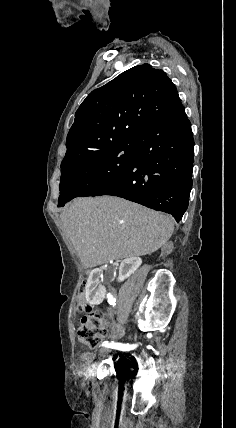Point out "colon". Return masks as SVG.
<instances>
[{
	"instance_id": "obj_1",
	"label": "colon",
	"mask_w": 236,
	"mask_h": 428,
	"mask_svg": "<svg viewBox=\"0 0 236 428\" xmlns=\"http://www.w3.org/2000/svg\"><path fill=\"white\" fill-rule=\"evenodd\" d=\"M85 289L86 283L82 282L78 289L77 308L86 315L81 318L76 335L79 343L96 348L107 335V323L105 315L86 301Z\"/></svg>"
}]
</instances>
